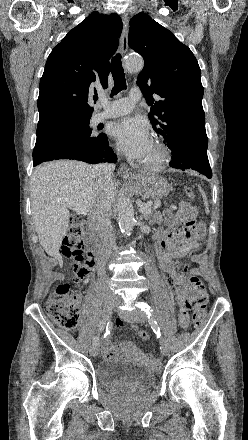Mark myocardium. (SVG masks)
Returning <instances> with one entry per match:
<instances>
[{
  "label": "myocardium",
  "instance_id": "myocardium-1",
  "mask_svg": "<svg viewBox=\"0 0 248 440\" xmlns=\"http://www.w3.org/2000/svg\"><path fill=\"white\" fill-rule=\"evenodd\" d=\"M153 147L156 152L155 158L141 162V167L144 170L151 172L161 170L166 165L170 155L167 146L159 139L154 140Z\"/></svg>",
  "mask_w": 248,
  "mask_h": 440
}]
</instances>
